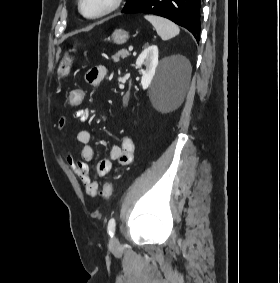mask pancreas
<instances>
[{"instance_id": "obj_1", "label": "pancreas", "mask_w": 280, "mask_h": 283, "mask_svg": "<svg viewBox=\"0 0 280 283\" xmlns=\"http://www.w3.org/2000/svg\"><path fill=\"white\" fill-rule=\"evenodd\" d=\"M129 56V52L127 50H120L112 56L114 62H119L120 58L125 59Z\"/></svg>"}]
</instances>
